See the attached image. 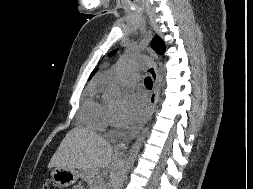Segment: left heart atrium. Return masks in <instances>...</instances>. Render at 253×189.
I'll list each match as a JSON object with an SVG mask.
<instances>
[{
	"instance_id": "left-heart-atrium-1",
	"label": "left heart atrium",
	"mask_w": 253,
	"mask_h": 189,
	"mask_svg": "<svg viewBox=\"0 0 253 189\" xmlns=\"http://www.w3.org/2000/svg\"><path fill=\"white\" fill-rule=\"evenodd\" d=\"M146 108L147 104L144 97L139 94L130 95L121 116L122 125L126 128L134 126L144 115Z\"/></svg>"
}]
</instances>
